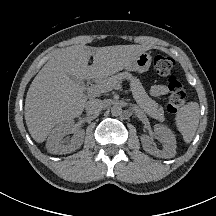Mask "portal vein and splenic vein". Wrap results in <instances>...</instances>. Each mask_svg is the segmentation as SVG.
Segmentation results:
<instances>
[{
  "label": "portal vein and splenic vein",
  "instance_id": "portal-vein-and-splenic-vein-1",
  "mask_svg": "<svg viewBox=\"0 0 216 216\" xmlns=\"http://www.w3.org/2000/svg\"><path fill=\"white\" fill-rule=\"evenodd\" d=\"M121 86L120 85H117L115 87V89H120ZM88 93L90 94H100V93H104V89L99 86V85H94V86H91L88 88Z\"/></svg>",
  "mask_w": 216,
  "mask_h": 216
}]
</instances>
